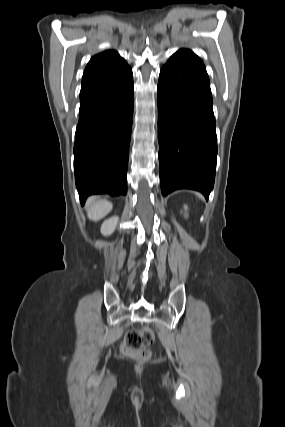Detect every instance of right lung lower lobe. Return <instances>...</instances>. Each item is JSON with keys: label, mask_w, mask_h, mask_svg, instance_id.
I'll return each instance as SVG.
<instances>
[{"label": "right lung lower lobe", "mask_w": 285, "mask_h": 427, "mask_svg": "<svg viewBox=\"0 0 285 427\" xmlns=\"http://www.w3.org/2000/svg\"><path fill=\"white\" fill-rule=\"evenodd\" d=\"M134 107L132 70L81 88L75 134V181L81 204L92 194L127 193Z\"/></svg>", "instance_id": "98d812e1"}]
</instances>
